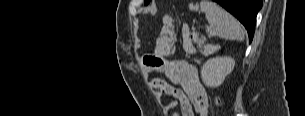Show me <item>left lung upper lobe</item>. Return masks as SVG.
<instances>
[{
    "label": "left lung upper lobe",
    "mask_w": 305,
    "mask_h": 116,
    "mask_svg": "<svg viewBox=\"0 0 305 116\" xmlns=\"http://www.w3.org/2000/svg\"><path fill=\"white\" fill-rule=\"evenodd\" d=\"M149 2V0H145V3L147 4Z\"/></svg>",
    "instance_id": "obj_1"
}]
</instances>
